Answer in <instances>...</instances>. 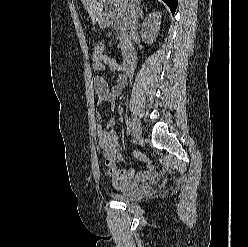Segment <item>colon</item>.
<instances>
[{
    "instance_id": "obj_1",
    "label": "colon",
    "mask_w": 248,
    "mask_h": 247,
    "mask_svg": "<svg viewBox=\"0 0 248 247\" xmlns=\"http://www.w3.org/2000/svg\"><path fill=\"white\" fill-rule=\"evenodd\" d=\"M94 54L97 56L104 55V44L102 42H96L94 46ZM136 156L143 162H145L150 169L153 168V164L150 159L142 153H136Z\"/></svg>"
}]
</instances>
